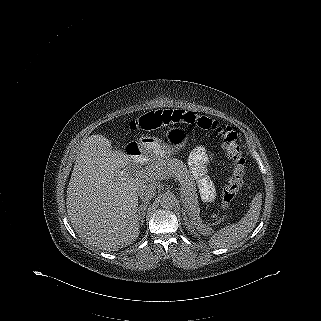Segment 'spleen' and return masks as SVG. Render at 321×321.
<instances>
[{"mask_svg":"<svg viewBox=\"0 0 321 321\" xmlns=\"http://www.w3.org/2000/svg\"><path fill=\"white\" fill-rule=\"evenodd\" d=\"M262 205V195L256 194L251 207L242 219L233 225L217 231L210 239V245L214 248L229 247L246 237L255 227Z\"/></svg>","mask_w":321,"mask_h":321,"instance_id":"spleen-1","label":"spleen"}]
</instances>
